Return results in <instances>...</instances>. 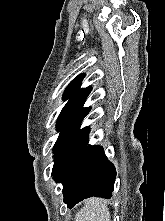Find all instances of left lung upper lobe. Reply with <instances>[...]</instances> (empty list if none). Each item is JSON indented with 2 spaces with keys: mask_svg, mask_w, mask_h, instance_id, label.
<instances>
[{
  "mask_svg": "<svg viewBox=\"0 0 165 221\" xmlns=\"http://www.w3.org/2000/svg\"><path fill=\"white\" fill-rule=\"evenodd\" d=\"M84 76V74L77 76L64 92L63 99H68V102L62 109L57 120L56 128L60 131L57 141L68 130L79 123L91 109L90 107L83 108V104L91 91V87L80 89V84Z\"/></svg>",
  "mask_w": 165,
  "mask_h": 221,
  "instance_id": "1",
  "label": "left lung upper lobe"
}]
</instances>
